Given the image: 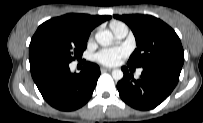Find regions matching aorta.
Returning a JSON list of instances; mask_svg holds the SVG:
<instances>
[{
  "label": "aorta",
  "instance_id": "aorta-1",
  "mask_svg": "<svg viewBox=\"0 0 203 123\" xmlns=\"http://www.w3.org/2000/svg\"><path fill=\"white\" fill-rule=\"evenodd\" d=\"M95 39L101 46H109L112 44L114 37L109 30H103L96 33ZM112 77L116 81L121 80L123 78V71L121 69H114Z\"/></svg>",
  "mask_w": 203,
  "mask_h": 123
}]
</instances>
